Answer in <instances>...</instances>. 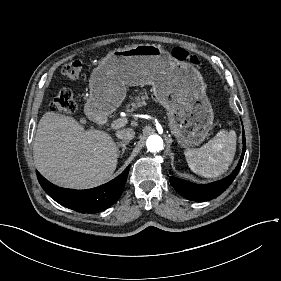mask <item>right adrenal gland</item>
<instances>
[{
    "mask_svg": "<svg viewBox=\"0 0 281 281\" xmlns=\"http://www.w3.org/2000/svg\"><path fill=\"white\" fill-rule=\"evenodd\" d=\"M129 144V140L127 141H122V142H117V146H116V152H117V157L119 156H123L125 150L127 149V145ZM122 148L121 150L119 148Z\"/></svg>",
    "mask_w": 281,
    "mask_h": 281,
    "instance_id": "obj_1",
    "label": "right adrenal gland"
}]
</instances>
